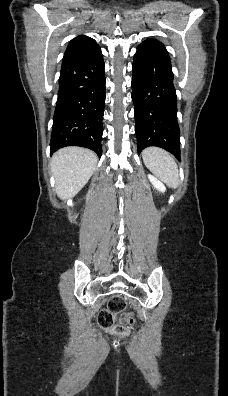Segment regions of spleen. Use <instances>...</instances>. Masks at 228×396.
<instances>
[{
  "mask_svg": "<svg viewBox=\"0 0 228 396\" xmlns=\"http://www.w3.org/2000/svg\"><path fill=\"white\" fill-rule=\"evenodd\" d=\"M146 167L161 181L172 188L179 186V171L174 158L165 150L149 147L142 152Z\"/></svg>",
  "mask_w": 228,
  "mask_h": 396,
  "instance_id": "1",
  "label": "spleen"
}]
</instances>
